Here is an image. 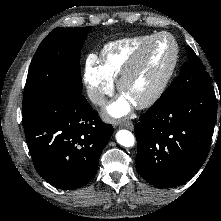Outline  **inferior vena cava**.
I'll return each instance as SVG.
<instances>
[{
  "mask_svg": "<svg viewBox=\"0 0 221 221\" xmlns=\"http://www.w3.org/2000/svg\"><path fill=\"white\" fill-rule=\"evenodd\" d=\"M88 97L92 103L97 104L99 106H103L106 103L105 96L103 94L98 93V92L90 91L88 93Z\"/></svg>",
  "mask_w": 221,
  "mask_h": 221,
  "instance_id": "602c4592",
  "label": "inferior vena cava"
}]
</instances>
